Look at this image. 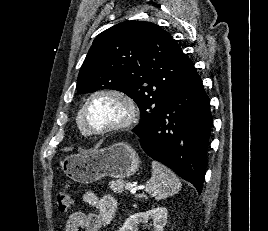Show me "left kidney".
<instances>
[{"instance_id": "obj_1", "label": "left kidney", "mask_w": 268, "mask_h": 231, "mask_svg": "<svg viewBox=\"0 0 268 231\" xmlns=\"http://www.w3.org/2000/svg\"><path fill=\"white\" fill-rule=\"evenodd\" d=\"M148 220L153 221L152 231H163L167 222V209L157 207L146 212L133 214L127 218L119 231H137L138 225L146 223Z\"/></svg>"}]
</instances>
